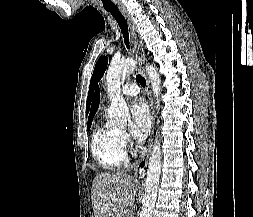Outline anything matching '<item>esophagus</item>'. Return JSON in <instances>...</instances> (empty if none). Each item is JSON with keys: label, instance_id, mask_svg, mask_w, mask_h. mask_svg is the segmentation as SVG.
Segmentation results:
<instances>
[{"label": "esophagus", "instance_id": "esophagus-1", "mask_svg": "<svg viewBox=\"0 0 253 217\" xmlns=\"http://www.w3.org/2000/svg\"><path fill=\"white\" fill-rule=\"evenodd\" d=\"M120 11L123 14V16L125 17V19L127 20L128 25H129L133 52H134L136 58H138L141 62H145V60H146L145 52L143 49L142 41L140 40L139 35H138L137 27H136L131 15L129 14V12L126 9L121 8ZM140 71L146 81V93H147V98H148L149 107H150L152 128H151V135L149 138V142L142 150L141 159L135 167L134 175L138 179H141L143 177L144 171H145L147 164H148V160H149L151 150H152L153 135H154V123H155L150 81H149L148 76H147L143 67L140 68Z\"/></svg>", "mask_w": 253, "mask_h": 217}]
</instances>
